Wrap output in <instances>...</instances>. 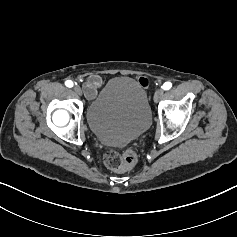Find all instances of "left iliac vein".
I'll return each mask as SVG.
<instances>
[{
  "mask_svg": "<svg viewBox=\"0 0 237 237\" xmlns=\"http://www.w3.org/2000/svg\"><path fill=\"white\" fill-rule=\"evenodd\" d=\"M164 95V90L163 89H157L155 94H154V101L158 102Z\"/></svg>",
  "mask_w": 237,
  "mask_h": 237,
  "instance_id": "left-iliac-vein-1",
  "label": "left iliac vein"
}]
</instances>
